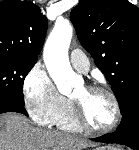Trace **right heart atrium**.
<instances>
[{
	"mask_svg": "<svg viewBox=\"0 0 139 150\" xmlns=\"http://www.w3.org/2000/svg\"><path fill=\"white\" fill-rule=\"evenodd\" d=\"M24 105L32 120L40 126H49L66 99L57 91L53 81L40 64L25 76L22 85Z\"/></svg>",
	"mask_w": 139,
	"mask_h": 150,
	"instance_id": "d8ad5b80",
	"label": "right heart atrium"
}]
</instances>
